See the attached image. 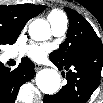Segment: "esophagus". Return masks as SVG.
Masks as SVG:
<instances>
[{
    "instance_id": "34e87169",
    "label": "esophagus",
    "mask_w": 103,
    "mask_h": 103,
    "mask_svg": "<svg viewBox=\"0 0 103 103\" xmlns=\"http://www.w3.org/2000/svg\"><path fill=\"white\" fill-rule=\"evenodd\" d=\"M42 68H43L42 65H40V64H35V70H36V71H39V70L42 69Z\"/></svg>"
}]
</instances>
